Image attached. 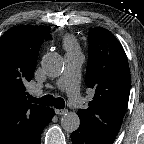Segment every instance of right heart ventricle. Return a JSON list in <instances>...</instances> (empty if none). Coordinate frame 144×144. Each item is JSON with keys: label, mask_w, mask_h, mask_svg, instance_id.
<instances>
[{"label": "right heart ventricle", "mask_w": 144, "mask_h": 144, "mask_svg": "<svg viewBox=\"0 0 144 144\" xmlns=\"http://www.w3.org/2000/svg\"><path fill=\"white\" fill-rule=\"evenodd\" d=\"M63 46L67 52H76L78 50V43L73 36H66L63 40Z\"/></svg>", "instance_id": "obj_1"}]
</instances>
